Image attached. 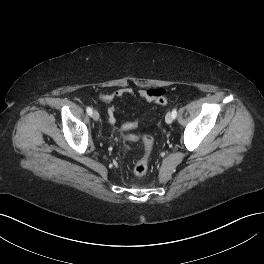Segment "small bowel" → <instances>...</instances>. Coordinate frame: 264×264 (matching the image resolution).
I'll return each instance as SVG.
<instances>
[{
    "instance_id": "small-bowel-1",
    "label": "small bowel",
    "mask_w": 264,
    "mask_h": 264,
    "mask_svg": "<svg viewBox=\"0 0 264 264\" xmlns=\"http://www.w3.org/2000/svg\"><path fill=\"white\" fill-rule=\"evenodd\" d=\"M167 91L164 88H150V89H142L138 92H134L131 88H120L110 93H106L101 95L100 99L105 104H110L115 99L122 98L125 95L134 96L140 100L147 102H155V100L159 97H163ZM115 107L111 106L108 110V119L110 123L115 122Z\"/></svg>"
}]
</instances>
